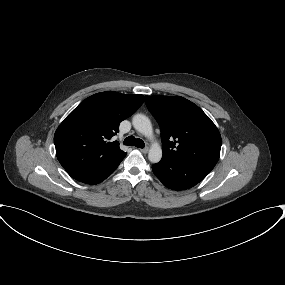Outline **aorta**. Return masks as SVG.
<instances>
[{"instance_id": "1", "label": "aorta", "mask_w": 285, "mask_h": 285, "mask_svg": "<svg viewBox=\"0 0 285 285\" xmlns=\"http://www.w3.org/2000/svg\"><path fill=\"white\" fill-rule=\"evenodd\" d=\"M133 127L144 136L151 138L153 136V128L150 119L143 114H136L132 119ZM162 158V149L159 144L153 143L148 159L152 163H158Z\"/></svg>"}]
</instances>
